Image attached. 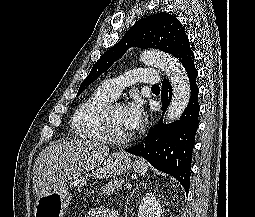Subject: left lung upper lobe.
I'll return each mask as SVG.
<instances>
[{
	"instance_id": "left-lung-upper-lobe-1",
	"label": "left lung upper lobe",
	"mask_w": 255,
	"mask_h": 217,
	"mask_svg": "<svg viewBox=\"0 0 255 217\" xmlns=\"http://www.w3.org/2000/svg\"><path fill=\"white\" fill-rule=\"evenodd\" d=\"M188 45L189 40L180 21L169 13L161 12L138 20L121 41L94 64L77 95L108 70L130 47L155 48L175 56Z\"/></svg>"
}]
</instances>
